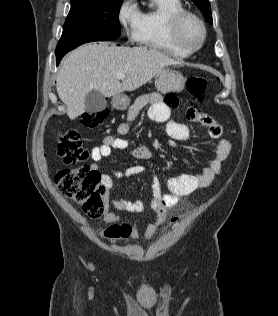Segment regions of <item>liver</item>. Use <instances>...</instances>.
I'll return each instance as SVG.
<instances>
[{
  "label": "liver",
  "instance_id": "obj_1",
  "mask_svg": "<svg viewBox=\"0 0 278 316\" xmlns=\"http://www.w3.org/2000/svg\"><path fill=\"white\" fill-rule=\"evenodd\" d=\"M179 62L156 49L118 47L106 42L90 43L69 53L56 79L59 98L73 120L86 111L85 96L91 90L104 97L134 91L149 82L164 67ZM124 74L125 78H117Z\"/></svg>",
  "mask_w": 278,
  "mask_h": 316
}]
</instances>
